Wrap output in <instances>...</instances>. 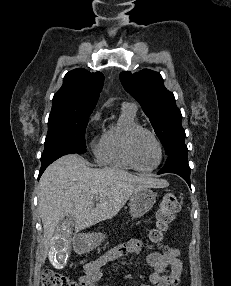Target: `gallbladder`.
Wrapping results in <instances>:
<instances>
[{"label":"gallbladder","instance_id":"gallbladder-1","mask_svg":"<svg viewBox=\"0 0 231 286\" xmlns=\"http://www.w3.org/2000/svg\"><path fill=\"white\" fill-rule=\"evenodd\" d=\"M76 218L73 216V213L65 214L60 218V222H57L56 225V236L53 237L51 245L49 246V257L50 263H52L53 267L56 269L64 268L68 259L70 258V250H71V233L72 229L75 228Z\"/></svg>","mask_w":231,"mask_h":286}]
</instances>
